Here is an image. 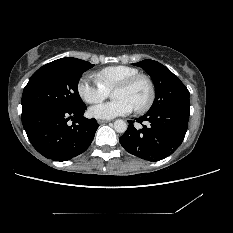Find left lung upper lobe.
Listing matches in <instances>:
<instances>
[{
	"instance_id": "left-lung-upper-lobe-1",
	"label": "left lung upper lobe",
	"mask_w": 233,
	"mask_h": 233,
	"mask_svg": "<svg viewBox=\"0 0 233 233\" xmlns=\"http://www.w3.org/2000/svg\"><path fill=\"white\" fill-rule=\"evenodd\" d=\"M133 65L143 68L154 82L156 96L149 112L190 104L187 87L167 67L151 59Z\"/></svg>"
}]
</instances>
